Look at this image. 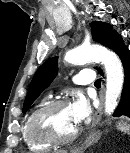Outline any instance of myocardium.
<instances>
[{
	"instance_id": "f54148a6",
	"label": "myocardium",
	"mask_w": 130,
	"mask_h": 153,
	"mask_svg": "<svg viewBox=\"0 0 130 153\" xmlns=\"http://www.w3.org/2000/svg\"><path fill=\"white\" fill-rule=\"evenodd\" d=\"M69 101L58 99L48 101L41 105L31 116L28 123V131L32 138L50 144H67L73 141L79 133L76 127L69 135H58L48 124V117L61 107L68 106Z\"/></svg>"
}]
</instances>
